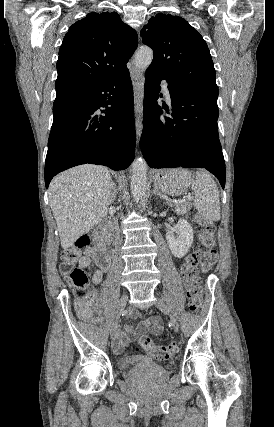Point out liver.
Listing matches in <instances>:
<instances>
[{
  "instance_id": "6515ba94",
  "label": "liver",
  "mask_w": 274,
  "mask_h": 427,
  "mask_svg": "<svg viewBox=\"0 0 274 427\" xmlns=\"http://www.w3.org/2000/svg\"><path fill=\"white\" fill-rule=\"evenodd\" d=\"M112 190V178L104 166L84 164L53 178L49 202L63 249L106 217Z\"/></svg>"
}]
</instances>
